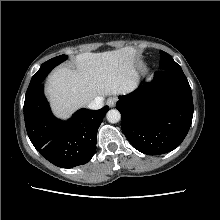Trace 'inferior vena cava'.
<instances>
[{
  "instance_id": "602c4592",
  "label": "inferior vena cava",
  "mask_w": 220,
  "mask_h": 220,
  "mask_svg": "<svg viewBox=\"0 0 220 220\" xmlns=\"http://www.w3.org/2000/svg\"><path fill=\"white\" fill-rule=\"evenodd\" d=\"M104 99L103 97H97L92 100L87 107L92 110H97L103 107Z\"/></svg>"
}]
</instances>
